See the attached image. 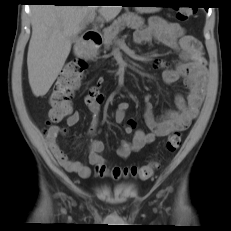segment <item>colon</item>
<instances>
[{"instance_id": "colon-1", "label": "colon", "mask_w": 231, "mask_h": 231, "mask_svg": "<svg viewBox=\"0 0 231 231\" xmlns=\"http://www.w3.org/2000/svg\"><path fill=\"white\" fill-rule=\"evenodd\" d=\"M191 13L192 10L189 8L180 9L177 11L176 17L179 21H185ZM86 68V61L82 58H76L69 61L60 72L49 97V120L51 122H59L71 113V100L80 85ZM180 145L181 135L178 131H175L167 138L165 147L168 152H174ZM158 166L159 164L156 161L143 166H115L112 168H108L105 164H102L96 166V172L101 177L109 176L113 179L131 176L146 180L153 175Z\"/></svg>"}]
</instances>
